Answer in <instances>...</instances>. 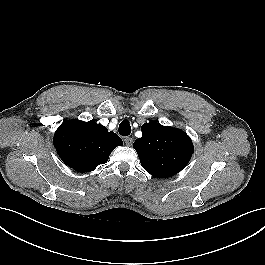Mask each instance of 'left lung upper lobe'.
I'll return each mask as SVG.
<instances>
[{"label": "left lung upper lobe", "mask_w": 265, "mask_h": 265, "mask_svg": "<svg viewBox=\"0 0 265 265\" xmlns=\"http://www.w3.org/2000/svg\"><path fill=\"white\" fill-rule=\"evenodd\" d=\"M142 137L133 147L142 167L152 176L167 178L181 171L193 154L189 136L180 129L150 121L141 127Z\"/></svg>", "instance_id": "obj_1"}]
</instances>
